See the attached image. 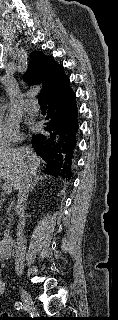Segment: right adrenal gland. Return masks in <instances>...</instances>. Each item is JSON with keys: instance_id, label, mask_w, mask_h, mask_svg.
Segmentation results:
<instances>
[{"instance_id": "1", "label": "right adrenal gland", "mask_w": 118, "mask_h": 320, "mask_svg": "<svg viewBox=\"0 0 118 320\" xmlns=\"http://www.w3.org/2000/svg\"><path fill=\"white\" fill-rule=\"evenodd\" d=\"M43 179V177L41 176V175H35L34 176V180H33V182H32V184H31V187H30V192H32L33 190H34V188H35V186L38 184V182L40 181V180H42Z\"/></svg>"}]
</instances>
